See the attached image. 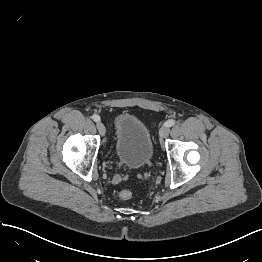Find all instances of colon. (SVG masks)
Here are the masks:
<instances>
[{
	"label": "colon",
	"instance_id": "1",
	"mask_svg": "<svg viewBox=\"0 0 262 262\" xmlns=\"http://www.w3.org/2000/svg\"><path fill=\"white\" fill-rule=\"evenodd\" d=\"M118 197L121 200L128 201L132 198V192L128 189H121L118 191Z\"/></svg>",
	"mask_w": 262,
	"mask_h": 262
}]
</instances>
